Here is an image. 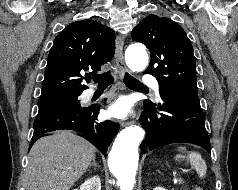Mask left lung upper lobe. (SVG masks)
I'll use <instances>...</instances> for the list:
<instances>
[{
	"mask_svg": "<svg viewBox=\"0 0 238 190\" xmlns=\"http://www.w3.org/2000/svg\"><path fill=\"white\" fill-rule=\"evenodd\" d=\"M132 38L151 52L147 73L154 75L162 93L197 94L193 48L176 22L150 14L133 30Z\"/></svg>",
	"mask_w": 238,
	"mask_h": 190,
	"instance_id": "1",
	"label": "left lung upper lobe"
}]
</instances>
